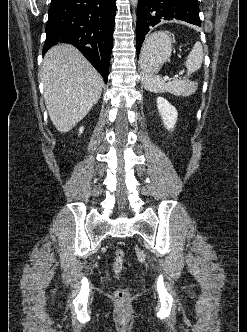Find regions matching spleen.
Masks as SVG:
<instances>
[{
    "instance_id": "1",
    "label": "spleen",
    "mask_w": 247,
    "mask_h": 332,
    "mask_svg": "<svg viewBox=\"0 0 247 332\" xmlns=\"http://www.w3.org/2000/svg\"><path fill=\"white\" fill-rule=\"evenodd\" d=\"M203 61V48L200 42H196L186 58L185 66L187 75L183 79H173L166 82L161 76L143 75L142 83L144 88L152 93H171L175 96H186L192 93L189 88L188 78L197 71Z\"/></svg>"
}]
</instances>
